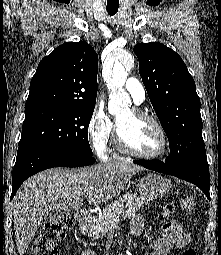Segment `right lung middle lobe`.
<instances>
[{
    "instance_id": "dd1d6c3e",
    "label": "right lung middle lobe",
    "mask_w": 221,
    "mask_h": 255,
    "mask_svg": "<svg viewBox=\"0 0 221 255\" xmlns=\"http://www.w3.org/2000/svg\"><path fill=\"white\" fill-rule=\"evenodd\" d=\"M95 105L26 111L19 145H39L92 155L88 126Z\"/></svg>"
}]
</instances>
